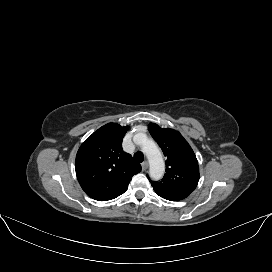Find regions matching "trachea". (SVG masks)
Returning a JSON list of instances; mask_svg holds the SVG:
<instances>
[{
    "label": "trachea",
    "instance_id": "obj_1",
    "mask_svg": "<svg viewBox=\"0 0 272 272\" xmlns=\"http://www.w3.org/2000/svg\"><path fill=\"white\" fill-rule=\"evenodd\" d=\"M134 160L137 162V163H142L144 161V155L142 154V152H136L134 154Z\"/></svg>",
    "mask_w": 272,
    "mask_h": 272
}]
</instances>
